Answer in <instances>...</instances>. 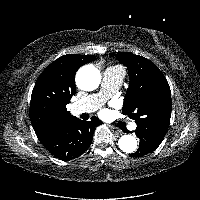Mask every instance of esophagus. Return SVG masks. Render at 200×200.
<instances>
[{"instance_id":"obj_1","label":"esophagus","mask_w":200,"mask_h":200,"mask_svg":"<svg viewBox=\"0 0 200 200\" xmlns=\"http://www.w3.org/2000/svg\"><path fill=\"white\" fill-rule=\"evenodd\" d=\"M110 130L113 132V133H121V131L116 128V127H113V126H109Z\"/></svg>"}]
</instances>
